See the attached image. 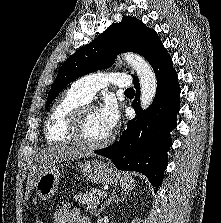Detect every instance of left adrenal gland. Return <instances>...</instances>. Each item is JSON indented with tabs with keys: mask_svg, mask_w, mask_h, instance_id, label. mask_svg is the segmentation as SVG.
<instances>
[{
	"mask_svg": "<svg viewBox=\"0 0 221 223\" xmlns=\"http://www.w3.org/2000/svg\"><path fill=\"white\" fill-rule=\"evenodd\" d=\"M126 195V194H125ZM126 197H121L119 198L118 195H117V192L113 191L111 193V195L109 196V198L101 205L98 213H97V216H99V214H101L103 212V210L109 206L112 202H118L120 201L121 199H124Z\"/></svg>",
	"mask_w": 221,
	"mask_h": 223,
	"instance_id": "left-adrenal-gland-1",
	"label": "left adrenal gland"
}]
</instances>
